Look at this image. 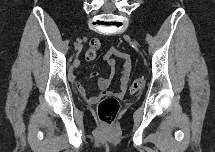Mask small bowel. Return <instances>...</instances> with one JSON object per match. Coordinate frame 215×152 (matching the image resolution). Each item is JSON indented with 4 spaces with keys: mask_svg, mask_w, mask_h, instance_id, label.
<instances>
[{
    "mask_svg": "<svg viewBox=\"0 0 215 152\" xmlns=\"http://www.w3.org/2000/svg\"><path fill=\"white\" fill-rule=\"evenodd\" d=\"M113 55L119 56L123 60V68L119 80V90L116 91L114 94L118 97H123L126 88L128 85L131 68H132V58L128 53L122 52L119 49L112 47L108 53L105 54V59L108 65L114 69L116 67V60L112 57ZM91 77L97 78V87L99 89V93L97 95L90 96L87 94L84 85L78 81L75 75L71 74V79L73 81L75 89L90 103L97 102L102 96L108 93V88L112 82L113 76L111 75L108 78L99 77L98 72L93 71L90 74Z\"/></svg>",
    "mask_w": 215,
    "mask_h": 152,
    "instance_id": "c3829d8e",
    "label": "small bowel"
}]
</instances>
